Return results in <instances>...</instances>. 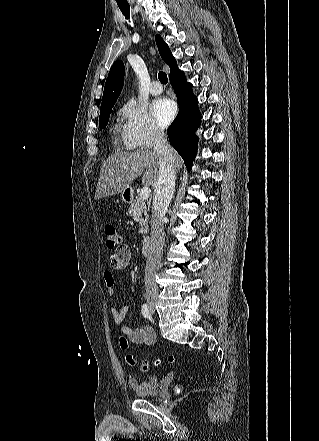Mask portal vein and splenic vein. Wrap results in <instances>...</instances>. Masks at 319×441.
Instances as JSON below:
<instances>
[{"label":"portal vein and splenic vein","instance_id":"portal-vein-and-splenic-vein-1","mask_svg":"<svg viewBox=\"0 0 319 441\" xmlns=\"http://www.w3.org/2000/svg\"><path fill=\"white\" fill-rule=\"evenodd\" d=\"M150 193H151L150 188L147 187V186H145V187H143V189H142L141 192H140V197H141L143 200H147V199L150 197Z\"/></svg>","mask_w":319,"mask_h":441}]
</instances>
